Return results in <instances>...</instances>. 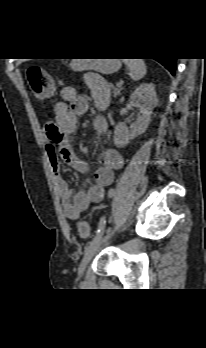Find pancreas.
<instances>
[{
    "instance_id": "1",
    "label": "pancreas",
    "mask_w": 206,
    "mask_h": 348,
    "mask_svg": "<svg viewBox=\"0 0 206 348\" xmlns=\"http://www.w3.org/2000/svg\"><path fill=\"white\" fill-rule=\"evenodd\" d=\"M121 91H122V87H113L114 97H117L118 95H120Z\"/></svg>"
}]
</instances>
